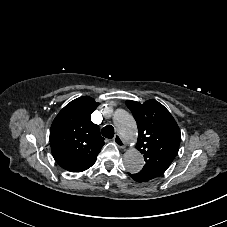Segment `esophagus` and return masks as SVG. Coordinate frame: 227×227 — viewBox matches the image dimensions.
I'll list each match as a JSON object with an SVG mask.
<instances>
[{
    "label": "esophagus",
    "instance_id": "obj_1",
    "mask_svg": "<svg viewBox=\"0 0 227 227\" xmlns=\"http://www.w3.org/2000/svg\"><path fill=\"white\" fill-rule=\"evenodd\" d=\"M114 143L122 149H125L127 147V143L122 139V137L119 134H116L114 136Z\"/></svg>",
    "mask_w": 227,
    "mask_h": 227
}]
</instances>
